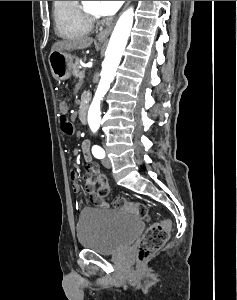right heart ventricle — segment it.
<instances>
[{"label":"right heart ventricle","mask_w":237,"mask_h":300,"mask_svg":"<svg viewBox=\"0 0 237 300\" xmlns=\"http://www.w3.org/2000/svg\"><path fill=\"white\" fill-rule=\"evenodd\" d=\"M53 16L56 31L62 37L83 36L92 29V23L80 10L79 1H53Z\"/></svg>","instance_id":"1"}]
</instances>
